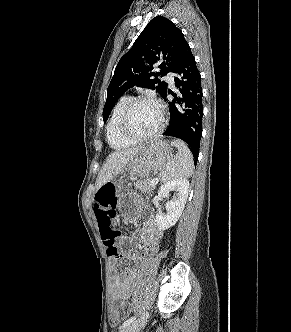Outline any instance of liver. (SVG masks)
Masks as SVG:
<instances>
[{"mask_svg": "<svg viewBox=\"0 0 291 332\" xmlns=\"http://www.w3.org/2000/svg\"><path fill=\"white\" fill-rule=\"evenodd\" d=\"M144 147L127 148L113 152L106 159L105 164L100 171L96 190L100 189L104 184L111 182L119 173H121L135 155Z\"/></svg>", "mask_w": 291, "mask_h": 332, "instance_id": "6515ba94", "label": "liver"}]
</instances>
